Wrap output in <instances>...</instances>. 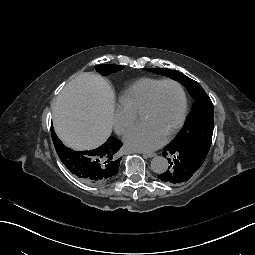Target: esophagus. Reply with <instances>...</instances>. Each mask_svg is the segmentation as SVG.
<instances>
[{"label": "esophagus", "instance_id": "esophagus-1", "mask_svg": "<svg viewBox=\"0 0 255 255\" xmlns=\"http://www.w3.org/2000/svg\"><path fill=\"white\" fill-rule=\"evenodd\" d=\"M135 153H142V152H140V151H135ZM144 155H145L146 157H148V158H152V157L156 156L155 153H144Z\"/></svg>", "mask_w": 255, "mask_h": 255}]
</instances>
